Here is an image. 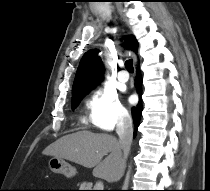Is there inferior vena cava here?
I'll list each match as a JSON object with an SVG mask.
<instances>
[{"mask_svg":"<svg viewBox=\"0 0 210 191\" xmlns=\"http://www.w3.org/2000/svg\"><path fill=\"white\" fill-rule=\"evenodd\" d=\"M116 132L119 136V146L123 152L120 162V177H122L133 139V122L129 113L126 112L120 115Z\"/></svg>","mask_w":210,"mask_h":191,"instance_id":"602c4592","label":"inferior vena cava"}]
</instances>
